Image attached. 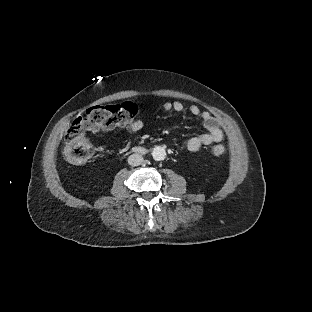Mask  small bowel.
Masks as SVG:
<instances>
[{"label":"small bowel","mask_w":312,"mask_h":312,"mask_svg":"<svg viewBox=\"0 0 312 312\" xmlns=\"http://www.w3.org/2000/svg\"><path fill=\"white\" fill-rule=\"evenodd\" d=\"M165 111H175L181 113L184 111V105L180 101L165 102L163 105ZM189 113L194 117H200L206 133L190 138L187 142V149L191 152L197 151L203 145H210L222 140L224 134L221 128L220 120L208 111L202 110L200 106L193 104L189 107ZM144 122L137 118L129 123L128 129L131 132H138L143 128Z\"/></svg>","instance_id":"obj_1"}]
</instances>
